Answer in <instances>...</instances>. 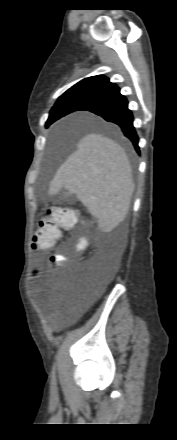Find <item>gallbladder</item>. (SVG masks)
I'll list each match as a JSON object with an SVG mask.
<instances>
[{
  "label": "gallbladder",
  "instance_id": "bac80fb5",
  "mask_svg": "<svg viewBox=\"0 0 177 440\" xmlns=\"http://www.w3.org/2000/svg\"><path fill=\"white\" fill-rule=\"evenodd\" d=\"M73 199V196L65 190H61L56 197L57 202H70L73 201Z\"/></svg>",
  "mask_w": 177,
  "mask_h": 440
}]
</instances>
